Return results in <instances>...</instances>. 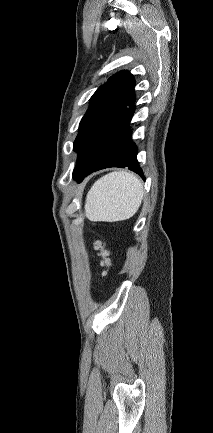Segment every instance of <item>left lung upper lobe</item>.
Returning a JSON list of instances; mask_svg holds the SVG:
<instances>
[{
  "mask_svg": "<svg viewBox=\"0 0 213 433\" xmlns=\"http://www.w3.org/2000/svg\"><path fill=\"white\" fill-rule=\"evenodd\" d=\"M134 78L129 71L111 76L91 97L73 149L79 154L73 176L100 151L110 133L134 104Z\"/></svg>",
  "mask_w": 213,
  "mask_h": 433,
  "instance_id": "5c2ea615",
  "label": "left lung upper lobe"
}]
</instances>
